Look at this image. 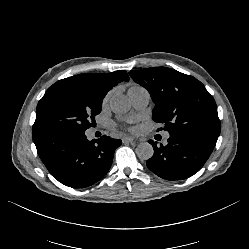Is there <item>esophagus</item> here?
Returning a JSON list of instances; mask_svg holds the SVG:
<instances>
[{"label": "esophagus", "instance_id": "obj_1", "mask_svg": "<svg viewBox=\"0 0 249 249\" xmlns=\"http://www.w3.org/2000/svg\"><path fill=\"white\" fill-rule=\"evenodd\" d=\"M122 141H123L124 143H130V142L133 141V138H132L131 136H123V137H122Z\"/></svg>", "mask_w": 249, "mask_h": 249}]
</instances>
